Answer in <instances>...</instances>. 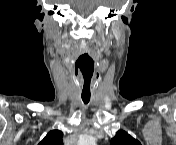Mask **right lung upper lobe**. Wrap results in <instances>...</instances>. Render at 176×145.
I'll list each match as a JSON object with an SVG mask.
<instances>
[{"mask_svg":"<svg viewBox=\"0 0 176 145\" xmlns=\"http://www.w3.org/2000/svg\"><path fill=\"white\" fill-rule=\"evenodd\" d=\"M63 133L59 130L50 131L39 145H63Z\"/></svg>","mask_w":176,"mask_h":145,"instance_id":"cb5924a9","label":"right lung upper lobe"}]
</instances>
